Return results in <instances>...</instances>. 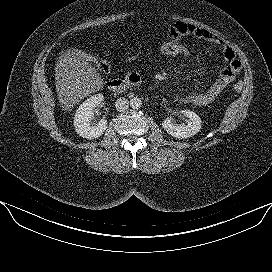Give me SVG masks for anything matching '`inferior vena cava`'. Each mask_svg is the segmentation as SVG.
<instances>
[{"instance_id": "1", "label": "inferior vena cava", "mask_w": 272, "mask_h": 272, "mask_svg": "<svg viewBox=\"0 0 272 272\" xmlns=\"http://www.w3.org/2000/svg\"><path fill=\"white\" fill-rule=\"evenodd\" d=\"M116 110L123 112L129 107V101L126 98H119L115 102Z\"/></svg>"}]
</instances>
